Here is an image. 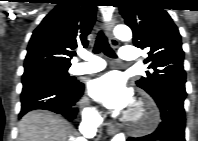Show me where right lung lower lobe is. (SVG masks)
Listing matches in <instances>:
<instances>
[{
    "label": "right lung lower lobe",
    "mask_w": 198,
    "mask_h": 141,
    "mask_svg": "<svg viewBox=\"0 0 198 141\" xmlns=\"http://www.w3.org/2000/svg\"><path fill=\"white\" fill-rule=\"evenodd\" d=\"M83 90L84 85L81 82L69 88L45 82L23 85L19 117L29 111L43 109L72 120L77 113L76 102L82 96Z\"/></svg>",
    "instance_id": "98d812e1"
}]
</instances>
